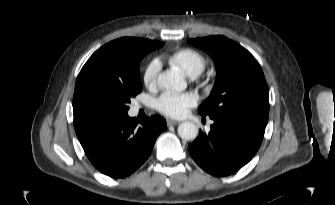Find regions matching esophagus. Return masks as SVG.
<instances>
[{
    "label": "esophagus",
    "mask_w": 335,
    "mask_h": 205,
    "mask_svg": "<svg viewBox=\"0 0 335 205\" xmlns=\"http://www.w3.org/2000/svg\"><path fill=\"white\" fill-rule=\"evenodd\" d=\"M178 123H179V121H177V120L167 119V125L168 126H170V125H176Z\"/></svg>",
    "instance_id": "34e87169"
}]
</instances>
